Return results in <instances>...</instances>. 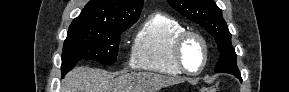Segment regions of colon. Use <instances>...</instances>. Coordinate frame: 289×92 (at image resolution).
I'll return each mask as SVG.
<instances>
[{
  "label": "colon",
  "mask_w": 289,
  "mask_h": 92,
  "mask_svg": "<svg viewBox=\"0 0 289 92\" xmlns=\"http://www.w3.org/2000/svg\"><path fill=\"white\" fill-rule=\"evenodd\" d=\"M217 91V89H216V87H208V88H204L203 90H202V92H216Z\"/></svg>",
  "instance_id": "5ec220e1"
}]
</instances>
